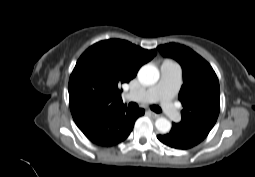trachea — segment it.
Returning <instances> with one entry per match:
<instances>
[{
    "label": "trachea",
    "mask_w": 255,
    "mask_h": 177,
    "mask_svg": "<svg viewBox=\"0 0 255 177\" xmlns=\"http://www.w3.org/2000/svg\"><path fill=\"white\" fill-rule=\"evenodd\" d=\"M128 106H129V108H131V109L138 108V104H137V103H134V102L129 103ZM150 108H151L154 112H156V113L162 112L161 108H160L159 106H157V105H152Z\"/></svg>",
    "instance_id": "trachea-1"
}]
</instances>
